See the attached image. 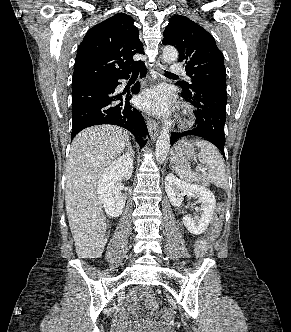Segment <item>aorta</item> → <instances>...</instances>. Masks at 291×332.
I'll list each match as a JSON object with an SVG mask.
<instances>
[{
	"label": "aorta",
	"instance_id": "1",
	"mask_svg": "<svg viewBox=\"0 0 291 332\" xmlns=\"http://www.w3.org/2000/svg\"><path fill=\"white\" fill-rule=\"evenodd\" d=\"M178 58V51L171 46H166L163 49V60L166 63H173ZM170 148V135L168 129L164 128L156 141V160L158 163H163L168 155Z\"/></svg>",
	"mask_w": 291,
	"mask_h": 332
}]
</instances>
